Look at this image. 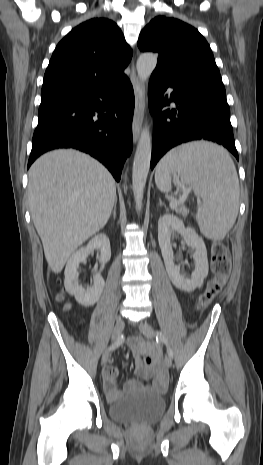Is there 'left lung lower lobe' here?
Wrapping results in <instances>:
<instances>
[{"label": "left lung lower lobe", "instance_id": "1", "mask_svg": "<svg viewBox=\"0 0 263 465\" xmlns=\"http://www.w3.org/2000/svg\"><path fill=\"white\" fill-rule=\"evenodd\" d=\"M170 88V97L165 95ZM151 114L171 101L176 109L154 119L151 169L171 148L193 140H209L227 148L237 159L226 93L193 78H177L153 72L148 89Z\"/></svg>", "mask_w": 263, "mask_h": 465}]
</instances>
